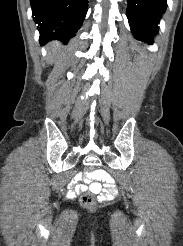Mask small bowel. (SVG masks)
I'll return each mask as SVG.
<instances>
[{"mask_svg": "<svg viewBox=\"0 0 183 246\" xmlns=\"http://www.w3.org/2000/svg\"><path fill=\"white\" fill-rule=\"evenodd\" d=\"M109 174V170H92V173H89L86 176L87 178H85L84 174H74V179L72 180L73 188L67 194V197L77 198L79 194L89 190L95 194H102L104 198H118L119 195L113 185L115 182V176ZM80 179H84L85 183L91 184H76ZM95 179H100L105 186L102 187L99 183H94Z\"/></svg>", "mask_w": 183, "mask_h": 246, "instance_id": "obj_1", "label": "small bowel"}]
</instances>
